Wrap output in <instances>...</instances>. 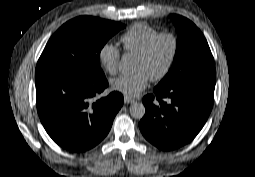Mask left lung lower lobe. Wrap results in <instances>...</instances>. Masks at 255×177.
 <instances>
[{"label":"left lung lower lobe","instance_id":"obj_1","mask_svg":"<svg viewBox=\"0 0 255 177\" xmlns=\"http://www.w3.org/2000/svg\"><path fill=\"white\" fill-rule=\"evenodd\" d=\"M215 74L198 75L168 88H154L143 98V136L162 150L190 142L204 126L213 106ZM163 99H168L166 102Z\"/></svg>","mask_w":255,"mask_h":177}]
</instances>
